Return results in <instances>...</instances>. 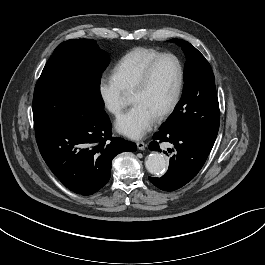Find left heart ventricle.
<instances>
[{
    "mask_svg": "<svg viewBox=\"0 0 265 265\" xmlns=\"http://www.w3.org/2000/svg\"><path fill=\"white\" fill-rule=\"evenodd\" d=\"M178 81V68L174 60L167 58L154 68L147 87L131 95L133 104H141L156 116L173 99Z\"/></svg>",
    "mask_w": 265,
    "mask_h": 265,
    "instance_id": "obj_1",
    "label": "left heart ventricle"
}]
</instances>
